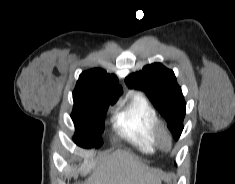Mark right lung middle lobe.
<instances>
[{
	"mask_svg": "<svg viewBox=\"0 0 235 184\" xmlns=\"http://www.w3.org/2000/svg\"><path fill=\"white\" fill-rule=\"evenodd\" d=\"M74 107L71 118L75 124L74 142L83 148L100 147L104 130V115L109 105L89 106L73 95Z\"/></svg>",
	"mask_w": 235,
	"mask_h": 184,
	"instance_id": "right-lung-middle-lobe-1",
	"label": "right lung middle lobe"
}]
</instances>
